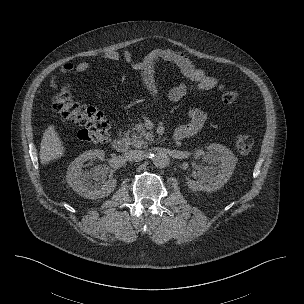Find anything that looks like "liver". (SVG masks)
<instances>
[{
    "label": "liver",
    "mask_w": 304,
    "mask_h": 304,
    "mask_svg": "<svg viewBox=\"0 0 304 304\" xmlns=\"http://www.w3.org/2000/svg\"><path fill=\"white\" fill-rule=\"evenodd\" d=\"M65 148L63 142L61 141L55 127L53 125L48 126V128L43 133L39 158L42 165L51 163L54 160H58L64 156Z\"/></svg>",
    "instance_id": "liver-1"
}]
</instances>
